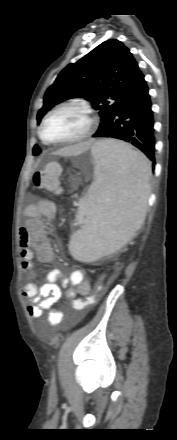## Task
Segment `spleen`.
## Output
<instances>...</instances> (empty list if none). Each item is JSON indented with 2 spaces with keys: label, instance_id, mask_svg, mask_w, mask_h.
I'll return each mask as SVG.
<instances>
[{
  "label": "spleen",
  "instance_id": "spleen-1",
  "mask_svg": "<svg viewBox=\"0 0 177 440\" xmlns=\"http://www.w3.org/2000/svg\"><path fill=\"white\" fill-rule=\"evenodd\" d=\"M92 155L95 181L76 215L83 227L69 242L71 255L80 261L114 253L140 229L146 216L151 175L145 155L125 143L99 141Z\"/></svg>",
  "mask_w": 177,
  "mask_h": 440
}]
</instances>
